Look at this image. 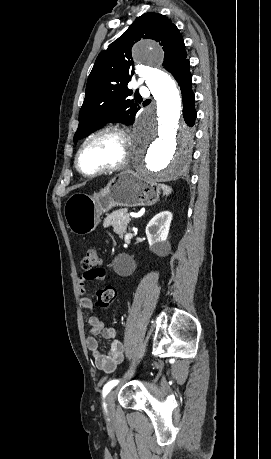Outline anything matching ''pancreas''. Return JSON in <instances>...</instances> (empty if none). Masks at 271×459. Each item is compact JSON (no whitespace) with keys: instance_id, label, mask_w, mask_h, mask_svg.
Returning <instances> with one entry per match:
<instances>
[{"instance_id":"obj_1","label":"pancreas","mask_w":271,"mask_h":459,"mask_svg":"<svg viewBox=\"0 0 271 459\" xmlns=\"http://www.w3.org/2000/svg\"><path fill=\"white\" fill-rule=\"evenodd\" d=\"M126 212L127 210H116V212L110 214V216H108L109 219L104 222V225L107 228L113 226L114 231L118 233L119 237H123V233L126 231L127 224L130 222V217L126 216Z\"/></svg>"}]
</instances>
